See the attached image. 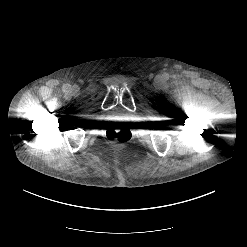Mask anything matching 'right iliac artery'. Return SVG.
I'll return each mask as SVG.
<instances>
[{
	"label": "right iliac artery",
	"instance_id": "obj_1",
	"mask_svg": "<svg viewBox=\"0 0 247 247\" xmlns=\"http://www.w3.org/2000/svg\"><path fill=\"white\" fill-rule=\"evenodd\" d=\"M68 88H69V85H66V86H65V89H68Z\"/></svg>",
	"mask_w": 247,
	"mask_h": 247
}]
</instances>
